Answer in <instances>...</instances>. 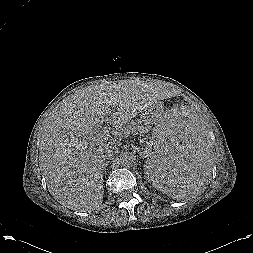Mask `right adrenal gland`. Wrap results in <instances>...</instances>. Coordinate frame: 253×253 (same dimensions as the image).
Returning a JSON list of instances; mask_svg holds the SVG:
<instances>
[{"label": "right adrenal gland", "instance_id": "obj_1", "mask_svg": "<svg viewBox=\"0 0 253 253\" xmlns=\"http://www.w3.org/2000/svg\"><path fill=\"white\" fill-rule=\"evenodd\" d=\"M111 157H108L106 162L104 163V172L106 173V167L109 165Z\"/></svg>", "mask_w": 253, "mask_h": 253}]
</instances>
